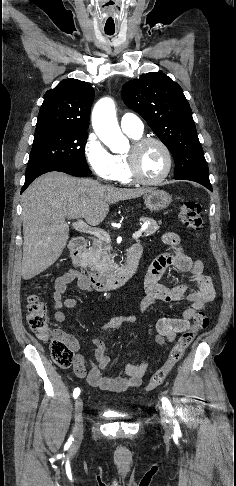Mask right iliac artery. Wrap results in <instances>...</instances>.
Masks as SVG:
<instances>
[{"instance_id":"82829eb1","label":"right iliac artery","mask_w":236,"mask_h":486,"mask_svg":"<svg viewBox=\"0 0 236 486\" xmlns=\"http://www.w3.org/2000/svg\"><path fill=\"white\" fill-rule=\"evenodd\" d=\"M80 394V389L79 388H75L74 391H73V397L74 398H77ZM70 440H73V438L71 437Z\"/></svg>"}]
</instances>
